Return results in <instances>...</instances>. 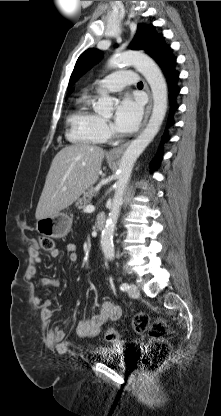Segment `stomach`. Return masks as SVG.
Returning a JSON list of instances; mask_svg holds the SVG:
<instances>
[{
  "mask_svg": "<svg viewBox=\"0 0 221 416\" xmlns=\"http://www.w3.org/2000/svg\"><path fill=\"white\" fill-rule=\"evenodd\" d=\"M111 161V160H110ZM72 219L65 213L39 219L36 223V230L39 234L49 238H62L71 229Z\"/></svg>",
  "mask_w": 221,
  "mask_h": 416,
  "instance_id": "obj_1",
  "label": "stomach"
}]
</instances>
